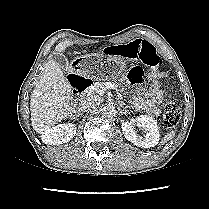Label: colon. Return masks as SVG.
Returning a JSON list of instances; mask_svg holds the SVG:
<instances>
[{"mask_svg": "<svg viewBox=\"0 0 209 209\" xmlns=\"http://www.w3.org/2000/svg\"><path fill=\"white\" fill-rule=\"evenodd\" d=\"M105 55H120L128 59H138L145 65L156 69L160 63V57L155 46L147 40H134L127 45H108L102 49ZM159 71L154 72V77L162 76ZM181 118V108L177 101L169 100L164 106L163 122L168 127H174Z\"/></svg>", "mask_w": 209, "mask_h": 209, "instance_id": "1", "label": "colon"}]
</instances>
